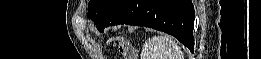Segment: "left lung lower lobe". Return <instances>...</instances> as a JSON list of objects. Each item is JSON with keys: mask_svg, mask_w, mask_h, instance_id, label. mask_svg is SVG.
Masks as SVG:
<instances>
[{"mask_svg": "<svg viewBox=\"0 0 261 59\" xmlns=\"http://www.w3.org/2000/svg\"><path fill=\"white\" fill-rule=\"evenodd\" d=\"M194 17L191 0H119L96 26L100 32L118 24L154 28L173 35L193 52Z\"/></svg>", "mask_w": 261, "mask_h": 59, "instance_id": "obj_1", "label": "left lung lower lobe"}]
</instances>
